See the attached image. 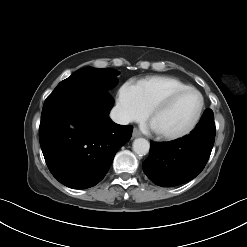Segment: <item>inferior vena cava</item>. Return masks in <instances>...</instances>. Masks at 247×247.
Here are the masks:
<instances>
[{
    "instance_id": "obj_1",
    "label": "inferior vena cava",
    "mask_w": 247,
    "mask_h": 247,
    "mask_svg": "<svg viewBox=\"0 0 247 247\" xmlns=\"http://www.w3.org/2000/svg\"><path fill=\"white\" fill-rule=\"evenodd\" d=\"M110 118L117 124L127 125L131 122L129 114L119 106H115L110 113Z\"/></svg>"
}]
</instances>
